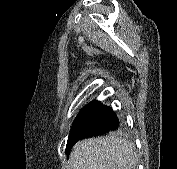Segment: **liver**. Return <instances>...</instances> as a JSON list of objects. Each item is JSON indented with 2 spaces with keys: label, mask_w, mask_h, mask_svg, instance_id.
Instances as JSON below:
<instances>
[{
  "label": "liver",
  "mask_w": 177,
  "mask_h": 169,
  "mask_svg": "<svg viewBox=\"0 0 177 169\" xmlns=\"http://www.w3.org/2000/svg\"><path fill=\"white\" fill-rule=\"evenodd\" d=\"M137 161L132 143L110 135L78 142L70 153L68 169H135Z\"/></svg>",
  "instance_id": "obj_1"
}]
</instances>
